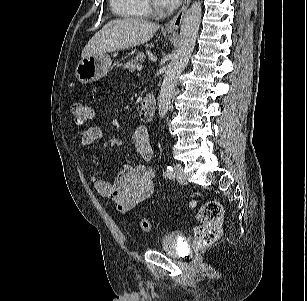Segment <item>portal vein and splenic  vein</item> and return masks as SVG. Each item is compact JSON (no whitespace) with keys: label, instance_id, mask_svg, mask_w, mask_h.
<instances>
[{"label":"portal vein and splenic vein","instance_id":"1","mask_svg":"<svg viewBox=\"0 0 307 301\" xmlns=\"http://www.w3.org/2000/svg\"><path fill=\"white\" fill-rule=\"evenodd\" d=\"M143 69V65H139L138 67H137V70L138 71H141Z\"/></svg>","mask_w":307,"mask_h":301}]
</instances>
